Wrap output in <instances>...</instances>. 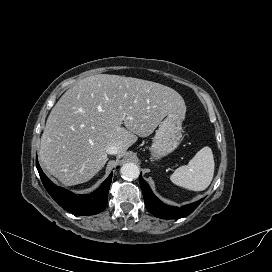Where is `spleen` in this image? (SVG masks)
<instances>
[{
    "label": "spleen",
    "instance_id": "1",
    "mask_svg": "<svg viewBox=\"0 0 272 272\" xmlns=\"http://www.w3.org/2000/svg\"><path fill=\"white\" fill-rule=\"evenodd\" d=\"M214 166L212 150L206 146L199 150L187 165L177 168L170 180L185 189L203 191L213 179Z\"/></svg>",
    "mask_w": 272,
    "mask_h": 272
}]
</instances>
